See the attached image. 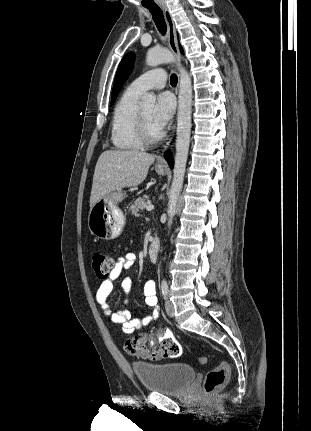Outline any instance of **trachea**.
I'll use <instances>...</instances> for the list:
<instances>
[{"instance_id":"3493384b","label":"trachea","mask_w":311,"mask_h":431,"mask_svg":"<svg viewBox=\"0 0 311 431\" xmlns=\"http://www.w3.org/2000/svg\"><path fill=\"white\" fill-rule=\"evenodd\" d=\"M147 8L150 11V13L152 14L153 20H154L156 27L158 28L159 32L164 35L167 27H166V23H165L163 12H162L161 8H159V7H153V8L147 7ZM177 81H178V78L175 75V73H173L170 77L171 85L175 86L177 84Z\"/></svg>"}]
</instances>
